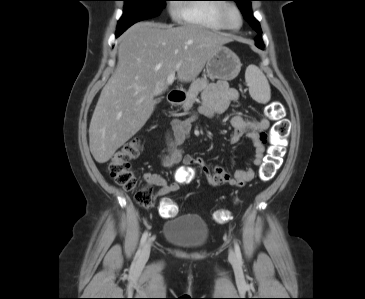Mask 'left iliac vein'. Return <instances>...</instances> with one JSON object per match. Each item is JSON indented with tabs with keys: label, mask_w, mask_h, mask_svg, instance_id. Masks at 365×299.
<instances>
[{
	"label": "left iliac vein",
	"mask_w": 365,
	"mask_h": 299,
	"mask_svg": "<svg viewBox=\"0 0 365 299\" xmlns=\"http://www.w3.org/2000/svg\"><path fill=\"white\" fill-rule=\"evenodd\" d=\"M229 259L233 263L236 262V254H235V252L232 249H230V251H229Z\"/></svg>",
	"instance_id": "left-iliac-vein-1"
}]
</instances>
